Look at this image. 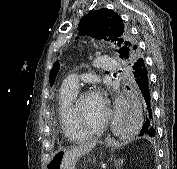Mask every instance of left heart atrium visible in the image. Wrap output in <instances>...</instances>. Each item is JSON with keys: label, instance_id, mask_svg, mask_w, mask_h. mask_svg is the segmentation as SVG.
Masks as SVG:
<instances>
[{"label": "left heart atrium", "instance_id": "left-heart-atrium-1", "mask_svg": "<svg viewBox=\"0 0 177 169\" xmlns=\"http://www.w3.org/2000/svg\"><path fill=\"white\" fill-rule=\"evenodd\" d=\"M91 96L100 106L105 107L103 96L99 91H94Z\"/></svg>", "mask_w": 177, "mask_h": 169}]
</instances>
